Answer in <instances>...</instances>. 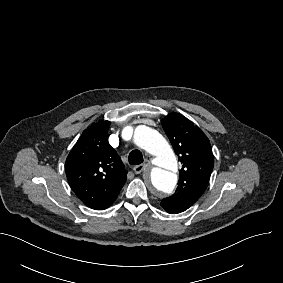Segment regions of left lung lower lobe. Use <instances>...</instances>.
Listing matches in <instances>:
<instances>
[{"label":"left lung lower lobe","instance_id":"0a47b994","mask_svg":"<svg viewBox=\"0 0 283 283\" xmlns=\"http://www.w3.org/2000/svg\"><path fill=\"white\" fill-rule=\"evenodd\" d=\"M162 207L164 208V210L170 214H176V213H180V212H183V211H177V210H174V209H170L169 207H166L164 205H162Z\"/></svg>","mask_w":283,"mask_h":283}]
</instances>
